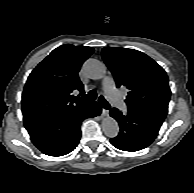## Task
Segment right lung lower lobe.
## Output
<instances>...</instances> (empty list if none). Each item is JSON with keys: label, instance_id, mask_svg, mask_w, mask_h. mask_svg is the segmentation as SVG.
I'll return each instance as SVG.
<instances>
[{"label": "right lung lower lobe", "instance_id": "right-lung-lower-lobe-1", "mask_svg": "<svg viewBox=\"0 0 194 193\" xmlns=\"http://www.w3.org/2000/svg\"><path fill=\"white\" fill-rule=\"evenodd\" d=\"M101 107L92 102L52 120L25 126L33 144L50 156L66 155L78 145L80 125L88 117L100 115Z\"/></svg>", "mask_w": 194, "mask_h": 193}]
</instances>
